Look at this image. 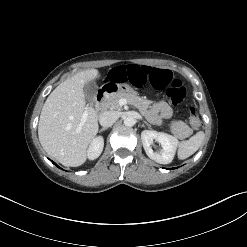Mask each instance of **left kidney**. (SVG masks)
Instances as JSON below:
<instances>
[{
  "instance_id": "left-kidney-1",
  "label": "left kidney",
  "mask_w": 247,
  "mask_h": 247,
  "mask_svg": "<svg viewBox=\"0 0 247 247\" xmlns=\"http://www.w3.org/2000/svg\"><path fill=\"white\" fill-rule=\"evenodd\" d=\"M141 140L143 148L150 159L160 164H169L172 162L178 146L176 137L164 132L144 130L141 133ZM154 140L162 146L159 152H154L152 149Z\"/></svg>"
}]
</instances>
